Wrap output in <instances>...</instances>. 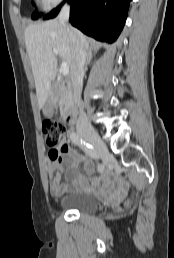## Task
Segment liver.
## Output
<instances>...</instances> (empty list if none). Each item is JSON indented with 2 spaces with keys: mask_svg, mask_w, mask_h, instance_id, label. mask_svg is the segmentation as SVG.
<instances>
[{
  "mask_svg": "<svg viewBox=\"0 0 174 258\" xmlns=\"http://www.w3.org/2000/svg\"><path fill=\"white\" fill-rule=\"evenodd\" d=\"M69 28L86 50L89 43L85 35L75 28ZM25 44L34 75L38 104L41 109L48 99L52 82L56 77L58 63L53 50L57 49L63 62L71 67L72 46L66 27L58 20L28 25L25 30Z\"/></svg>",
  "mask_w": 174,
  "mask_h": 258,
  "instance_id": "6515ba94",
  "label": "liver"
}]
</instances>
